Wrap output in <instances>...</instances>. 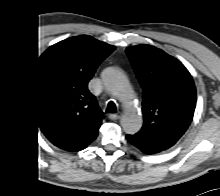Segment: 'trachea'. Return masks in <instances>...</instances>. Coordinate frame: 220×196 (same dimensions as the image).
I'll use <instances>...</instances> for the list:
<instances>
[{
	"instance_id": "trachea-1",
	"label": "trachea",
	"mask_w": 220,
	"mask_h": 196,
	"mask_svg": "<svg viewBox=\"0 0 220 196\" xmlns=\"http://www.w3.org/2000/svg\"><path fill=\"white\" fill-rule=\"evenodd\" d=\"M108 113H115L116 112V106L114 104V102H109L108 106H107V110Z\"/></svg>"
}]
</instances>
